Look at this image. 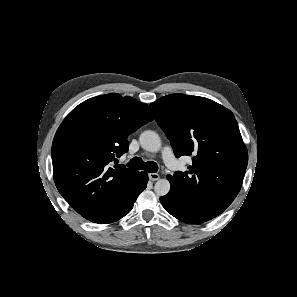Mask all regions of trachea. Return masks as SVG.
Masks as SVG:
<instances>
[{
	"mask_svg": "<svg viewBox=\"0 0 297 297\" xmlns=\"http://www.w3.org/2000/svg\"><path fill=\"white\" fill-rule=\"evenodd\" d=\"M127 166L132 169H137V170H142L147 171L149 173H155L158 171V165L157 163L153 161H148L144 163V161L140 157H134L131 159Z\"/></svg>",
	"mask_w": 297,
	"mask_h": 297,
	"instance_id": "3493384b",
	"label": "trachea"
}]
</instances>
